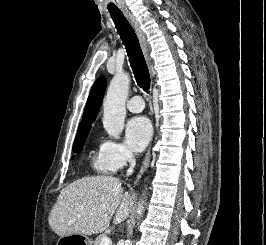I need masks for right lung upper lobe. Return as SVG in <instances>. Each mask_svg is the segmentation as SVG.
<instances>
[{
	"mask_svg": "<svg viewBox=\"0 0 266 245\" xmlns=\"http://www.w3.org/2000/svg\"><path fill=\"white\" fill-rule=\"evenodd\" d=\"M105 88L106 78L101 76L92 86L85 106L84 115L79 126L92 123L96 119L100 105L102 103Z\"/></svg>",
	"mask_w": 266,
	"mask_h": 245,
	"instance_id": "cb5924a9",
	"label": "right lung upper lobe"
}]
</instances>
